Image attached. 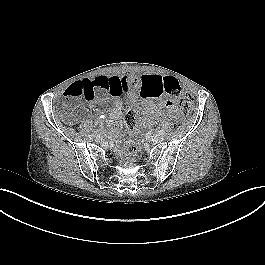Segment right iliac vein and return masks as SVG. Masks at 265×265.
Listing matches in <instances>:
<instances>
[{"label": "right iliac vein", "instance_id": "1", "mask_svg": "<svg viewBox=\"0 0 265 265\" xmlns=\"http://www.w3.org/2000/svg\"><path fill=\"white\" fill-rule=\"evenodd\" d=\"M95 140H96L97 142H100V141H102V136H100V135H97V136H96V138H95Z\"/></svg>", "mask_w": 265, "mask_h": 265}]
</instances>
